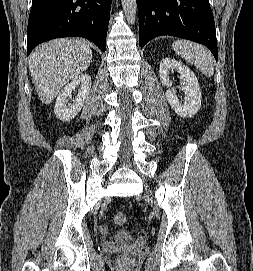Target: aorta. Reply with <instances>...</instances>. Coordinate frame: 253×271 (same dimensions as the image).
<instances>
[{
  "mask_svg": "<svg viewBox=\"0 0 253 271\" xmlns=\"http://www.w3.org/2000/svg\"><path fill=\"white\" fill-rule=\"evenodd\" d=\"M123 11L125 13L127 22L134 24L136 20L137 3L136 0H121Z\"/></svg>",
  "mask_w": 253,
  "mask_h": 271,
  "instance_id": "aorta-1",
  "label": "aorta"
}]
</instances>
